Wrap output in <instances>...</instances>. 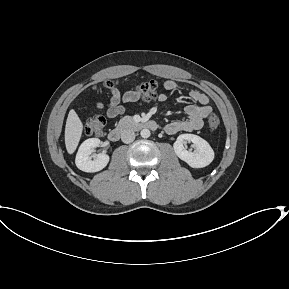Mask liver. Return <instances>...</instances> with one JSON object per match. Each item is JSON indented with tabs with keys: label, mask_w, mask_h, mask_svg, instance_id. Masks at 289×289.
<instances>
[{
	"label": "liver",
	"mask_w": 289,
	"mask_h": 289,
	"mask_svg": "<svg viewBox=\"0 0 289 289\" xmlns=\"http://www.w3.org/2000/svg\"><path fill=\"white\" fill-rule=\"evenodd\" d=\"M83 124L75 110L69 111L65 126V145L67 152L73 154L81 139Z\"/></svg>",
	"instance_id": "obj_1"
}]
</instances>
